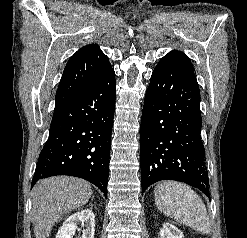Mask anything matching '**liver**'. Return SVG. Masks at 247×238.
Instances as JSON below:
<instances>
[{
  "instance_id": "6515ba94",
  "label": "liver",
  "mask_w": 247,
  "mask_h": 238,
  "mask_svg": "<svg viewBox=\"0 0 247 238\" xmlns=\"http://www.w3.org/2000/svg\"><path fill=\"white\" fill-rule=\"evenodd\" d=\"M91 196V186L82 179L57 176L40 181L32 191L35 238H48L63 214L86 205Z\"/></svg>"
}]
</instances>
